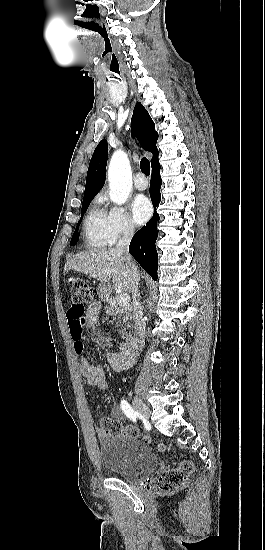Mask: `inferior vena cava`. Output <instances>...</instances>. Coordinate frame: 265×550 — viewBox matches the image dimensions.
<instances>
[{"label":"inferior vena cava","instance_id":"inferior-vena-cava-1","mask_svg":"<svg viewBox=\"0 0 265 550\" xmlns=\"http://www.w3.org/2000/svg\"><path fill=\"white\" fill-rule=\"evenodd\" d=\"M134 234V226L127 224L123 230L121 239L116 244V251L123 256V259L129 265V274L131 277V293L133 299V319L136 342L140 349L145 345V322L143 320V311L140 304L139 293V274L129 254V244Z\"/></svg>","mask_w":265,"mask_h":550}]
</instances>
